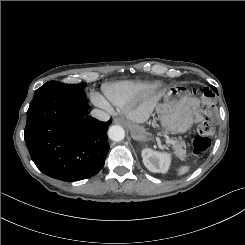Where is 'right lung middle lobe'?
I'll list each match as a JSON object with an SVG mask.
<instances>
[{
  "mask_svg": "<svg viewBox=\"0 0 245 245\" xmlns=\"http://www.w3.org/2000/svg\"><path fill=\"white\" fill-rule=\"evenodd\" d=\"M86 86V83H79V84H65L61 83L59 81H48L43 86H41L39 89L35 91V95L40 94L41 92L49 89H70V90H76V91H84V88Z\"/></svg>",
  "mask_w": 245,
  "mask_h": 245,
  "instance_id": "1",
  "label": "right lung middle lobe"
}]
</instances>
